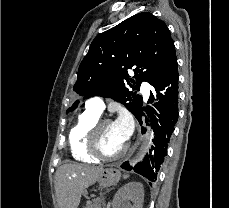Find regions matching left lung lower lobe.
I'll return each mask as SVG.
<instances>
[{
    "label": "left lung lower lobe",
    "mask_w": 229,
    "mask_h": 208,
    "mask_svg": "<svg viewBox=\"0 0 229 208\" xmlns=\"http://www.w3.org/2000/svg\"><path fill=\"white\" fill-rule=\"evenodd\" d=\"M178 71L177 63L174 65L169 76L160 84L153 86L154 91L150 93L149 103H153L152 107H141L135 117L142 124L141 117L145 116L144 112L151 117V127L154 129L155 138L154 146L150 149L143 162L138 163L134 168L130 167L128 162L122 164V168L131 170L141 174L150 181L157 179V172L162 164L164 157L167 155V147L174 131L175 124L178 120ZM146 123L148 124L147 116ZM149 125V124H148ZM143 133L144 128H142ZM151 185V183H150Z\"/></svg>",
    "instance_id": "left-lung-lower-lobe-1"
}]
</instances>
